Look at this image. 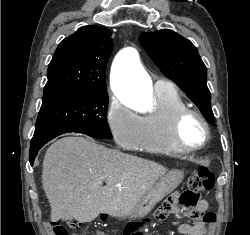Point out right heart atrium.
<instances>
[{"label":"right heart atrium","instance_id":"1","mask_svg":"<svg viewBox=\"0 0 250 235\" xmlns=\"http://www.w3.org/2000/svg\"><path fill=\"white\" fill-rule=\"evenodd\" d=\"M109 130L122 147L135 148L141 137V117L117 98L111 97L106 111Z\"/></svg>","mask_w":250,"mask_h":235}]
</instances>
